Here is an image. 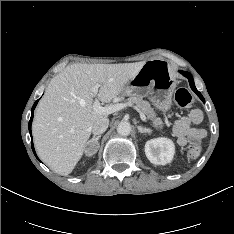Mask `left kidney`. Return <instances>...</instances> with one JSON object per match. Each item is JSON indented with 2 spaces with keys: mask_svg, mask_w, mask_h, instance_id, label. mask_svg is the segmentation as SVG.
<instances>
[{
  "mask_svg": "<svg viewBox=\"0 0 234 234\" xmlns=\"http://www.w3.org/2000/svg\"><path fill=\"white\" fill-rule=\"evenodd\" d=\"M175 153L174 143L167 138H155L145 144V154L149 161L155 165L170 163Z\"/></svg>",
  "mask_w": 234,
  "mask_h": 234,
  "instance_id": "left-kidney-1",
  "label": "left kidney"
}]
</instances>
